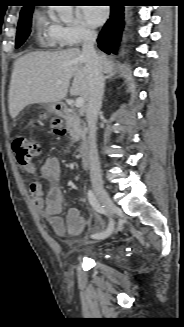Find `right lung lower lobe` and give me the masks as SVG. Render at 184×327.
<instances>
[{"instance_id":"obj_1","label":"right lung lower lobe","mask_w":184,"mask_h":327,"mask_svg":"<svg viewBox=\"0 0 184 327\" xmlns=\"http://www.w3.org/2000/svg\"><path fill=\"white\" fill-rule=\"evenodd\" d=\"M124 6H111L110 18L100 32L98 47L107 54L115 52V45L119 43L124 25Z\"/></svg>"}]
</instances>
